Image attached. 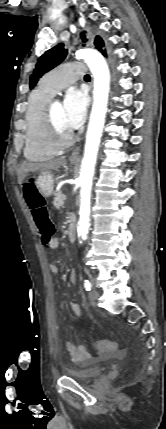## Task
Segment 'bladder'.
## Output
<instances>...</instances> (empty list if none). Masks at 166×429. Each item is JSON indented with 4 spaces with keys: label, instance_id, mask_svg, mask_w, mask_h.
Returning <instances> with one entry per match:
<instances>
[{
    "label": "bladder",
    "instance_id": "1",
    "mask_svg": "<svg viewBox=\"0 0 166 429\" xmlns=\"http://www.w3.org/2000/svg\"><path fill=\"white\" fill-rule=\"evenodd\" d=\"M105 371V366H92L78 370H67L66 374L77 381H90L98 378Z\"/></svg>",
    "mask_w": 166,
    "mask_h": 429
}]
</instances>
